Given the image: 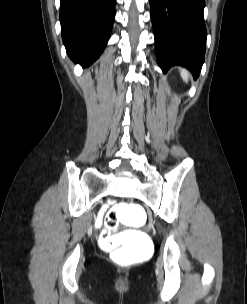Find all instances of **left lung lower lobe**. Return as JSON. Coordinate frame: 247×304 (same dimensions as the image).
I'll return each mask as SVG.
<instances>
[{
  "instance_id": "0a47b994",
  "label": "left lung lower lobe",
  "mask_w": 247,
  "mask_h": 304,
  "mask_svg": "<svg viewBox=\"0 0 247 304\" xmlns=\"http://www.w3.org/2000/svg\"><path fill=\"white\" fill-rule=\"evenodd\" d=\"M157 62L166 72L186 67L196 79L204 63L207 32L205 0H149Z\"/></svg>"
}]
</instances>
